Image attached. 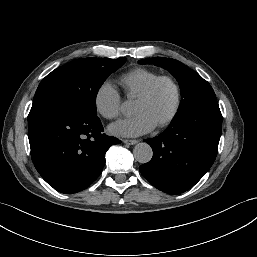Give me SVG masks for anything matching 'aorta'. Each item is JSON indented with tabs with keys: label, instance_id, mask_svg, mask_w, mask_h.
Instances as JSON below:
<instances>
[{
	"label": "aorta",
	"instance_id": "1",
	"mask_svg": "<svg viewBox=\"0 0 257 257\" xmlns=\"http://www.w3.org/2000/svg\"><path fill=\"white\" fill-rule=\"evenodd\" d=\"M128 106H129V103L124 102L122 105V110L126 111ZM133 154H134L135 159L139 163L145 164V163H148L152 159L153 151L149 144L142 142V143H138L134 147Z\"/></svg>",
	"mask_w": 257,
	"mask_h": 257
}]
</instances>
